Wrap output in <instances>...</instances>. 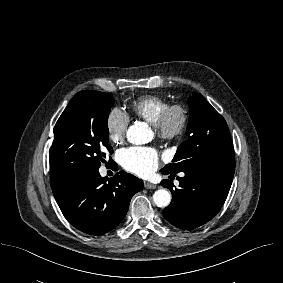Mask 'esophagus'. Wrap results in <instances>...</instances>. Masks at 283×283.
Masks as SVG:
<instances>
[{
    "instance_id": "obj_1",
    "label": "esophagus",
    "mask_w": 283,
    "mask_h": 283,
    "mask_svg": "<svg viewBox=\"0 0 283 283\" xmlns=\"http://www.w3.org/2000/svg\"><path fill=\"white\" fill-rule=\"evenodd\" d=\"M144 187H145L146 189H155V188H156V185H155V184H152V183H150V182H148V181H145V182H144Z\"/></svg>"
}]
</instances>
